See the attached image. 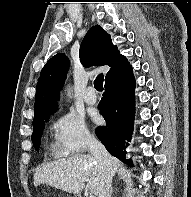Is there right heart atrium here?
I'll list each match as a JSON object with an SVG mask.
<instances>
[{
  "label": "right heart atrium",
  "instance_id": "d8ad5b80",
  "mask_svg": "<svg viewBox=\"0 0 191 197\" xmlns=\"http://www.w3.org/2000/svg\"><path fill=\"white\" fill-rule=\"evenodd\" d=\"M52 150L56 156H68L84 151L93 141L83 119L72 111H66L53 121Z\"/></svg>",
  "mask_w": 191,
  "mask_h": 197
}]
</instances>
